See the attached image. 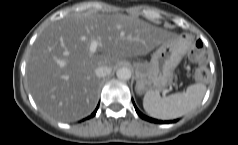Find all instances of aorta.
I'll use <instances>...</instances> for the list:
<instances>
[{
    "instance_id": "obj_1",
    "label": "aorta",
    "mask_w": 238,
    "mask_h": 145,
    "mask_svg": "<svg viewBox=\"0 0 238 145\" xmlns=\"http://www.w3.org/2000/svg\"><path fill=\"white\" fill-rule=\"evenodd\" d=\"M116 75L120 80H129L131 78V70L127 67H122L117 70Z\"/></svg>"
}]
</instances>
